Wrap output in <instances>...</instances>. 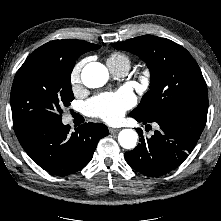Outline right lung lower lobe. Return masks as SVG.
<instances>
[{
  "mask_svg": "<svg viewBox=\"0 0 221 221\" xmlns=\"http://www.w3.org/2000/svg\"><path fill=\"white\" fill-rule=\"evenodd\" d=\"M25 150L41 168L57 176H67L85 167L99 140L108 135L100 123H85L71 133L68 125L40 123L15 130Z\"/></svg>",
  "mask_w": 221,
  "mask_h": 221,
  "instance_id": "98d812e1",
  "label": "right lung lower lobe"
}]
</instances>
